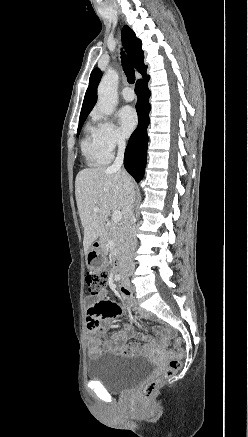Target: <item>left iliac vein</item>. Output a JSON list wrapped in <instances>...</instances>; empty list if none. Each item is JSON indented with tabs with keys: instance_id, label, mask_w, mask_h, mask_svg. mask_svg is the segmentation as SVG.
Masks as SVG:
<instances>
[{
	"instance_id": "1",
	"label": "left iliac vein",
	"mask_w": 248,
	"mask_h": 437,
	"mask_svg": "<svg viewBox=\"0 0 248 437\" xmlns=\"http://www.w3.org/2000/svg\"><path fill=\"white\" fill-rule=\"evenodd\" d=\"M124 283L128 288H131L130 282L127 279H124Z\"/></svg>"
}]
</instances>
